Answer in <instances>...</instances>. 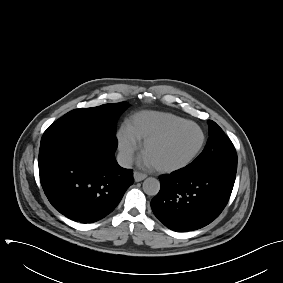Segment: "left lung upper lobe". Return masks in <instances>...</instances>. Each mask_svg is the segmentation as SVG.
Returning a JSON list of instances; mask_svg holds the SVG:
<instances>
[{
  "mask_svg": "<svg viewBox=\"0 0 283 283\" xmlns=\"http://www.w3.org/2000/svg\"><path fill=\"white\" fill-rule=\"evenodd\" d=\"M209 138L202 153L190 168H222L237 171V154L230 139L213 121L208 120Z\"/></svg>",
  "mask_w": 283,
  "mask_h": 283,
  "instance_id": "5c2ea615",
  "label": "left lung upper lobe"
}]
</instances>
